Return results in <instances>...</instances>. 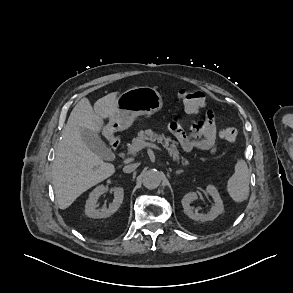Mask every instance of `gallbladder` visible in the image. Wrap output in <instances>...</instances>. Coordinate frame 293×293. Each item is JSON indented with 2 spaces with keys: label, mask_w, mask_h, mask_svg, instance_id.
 <instances>
[{
  "label": "gallbladder",
  "mask_w": 293,
  "mask_h": 293,
  "mask_svg": "<svg viewBox=\"0 0 293 293\" xmlns=\"http://www.w3.org/2000/svg\"><path fill=\"white\" fill-rule=\"evenodd\" d=\"M82 139L86 145L99 157L106 158L110 153V150L107 148L102 139L93 132L87 129H82Z\"/></svg>",
  "instance_id": "1"
}]
</instances>
